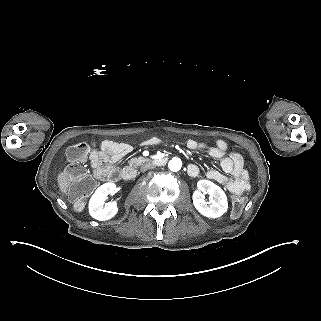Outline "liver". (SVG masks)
<instances>
[{
    "instance_id": "obj_1",
    "label": "liver",
    "mask_w": 321,
    "mask_h": 321,
    "mask_svg": "<svg viewBox=\"0 0 321 321\" xmlns=\"http://www.w3.org/2000/svg\"><path fill=\"white\" fill-rule=\"evenodd\" d=\"M74 175L67 170L59 171L57 174V185L59 190L67 195L72 191Z\"/></svg>"
}]
</instances>
